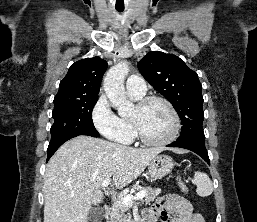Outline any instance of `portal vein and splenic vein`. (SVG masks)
<instances>
[{
  "mask_svg": "<svg viewBox=\"0 0 257 222\" xmlns=\"http://www.w3.org/2000/svg\"><path fill=\"white\" fill-rule=\"evenodd\" d=\"M109 184H110V180L106 179L102 182L101 187L106 188ZM144 196H145V191L142 190L138 192L135 196L131 194L120 196L119 201L126 206H132L134 200H142Z\"/></svg>",
  "mask_w": 257,
  "mask_h": 222,
  "instance_id": "1",
  "label": "portal vein and splenic vein"
}]
</instances>
